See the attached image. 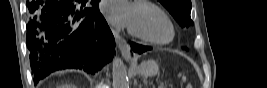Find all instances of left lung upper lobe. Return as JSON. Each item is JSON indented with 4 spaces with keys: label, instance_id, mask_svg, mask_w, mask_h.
Wrapping results in <instances>:
<instances>
[{
    "label": "left lung upper lobe",
    "instance_id": "1",
    "mask_svg": "<svg viewBox=\"0 0 267 88\" xmlns=\"http://www.w3.org/2000/svg\"><path fill=\"white\" fill-rule=\"evenodd\" d=\"M159 2L163 4L182 27L193 24L190 18V0H159Z\"/></svg>",
    "mask_w": 267,
    "mask_h": 88
}]
</instances>
